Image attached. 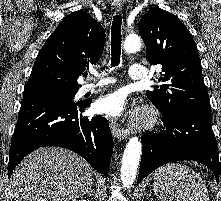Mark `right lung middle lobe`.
<instances>
[{
  "label": "right lung middle lobe",
  "instance_id": "obj_1",
  "mask_svg": "<svg viewBox=\"0 0 221 201\" xmlns=\"http://www.w3.org/2000/svg\"><path fill=\"white\" fill-rule=\"evenodd\" d=\"M78 89L28 88L24 89L23 97L43 96L72 101Z\"/></svg>",
  "mask_w": 221,
  "mask_h": 201
}]
</instances>
